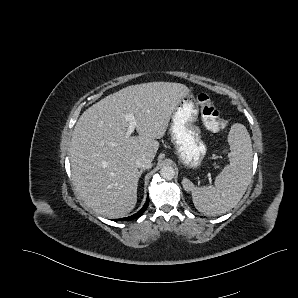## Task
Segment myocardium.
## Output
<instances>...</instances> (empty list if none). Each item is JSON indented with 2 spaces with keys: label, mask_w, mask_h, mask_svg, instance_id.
I'll list each match as a JSON object with an SVG mask.
<instances>
[{
  "label": "myocardium",
  "mask_w": 298,
  "mask_h": 298,
  "mask_svg": "<svg viewBox=\"0 0 298 298\" xmlns=\"http://www.w3.org/2000/svg\"><path fill=\"white\" fill-rule=\"evenodd\" d=\"M149 161H150V159H148L146 163H148Z\"/></svg>",
  "instance_id": "f54148a6"
}]
</instances>
